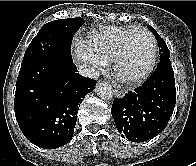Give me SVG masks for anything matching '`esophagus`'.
<instances>
[{"mask_svg": "<svg viewBox=\"0 0 196 166\" xmlns=\"http://www.w3.org/2000/svg\"><path fill=\"white\" fill-rule=\"evenodd\" d=\"M114 92H115V95H116L118 98H122V97H124V95H125L124 90H121V89H115Z\"/></svg>", "mask_w": 196, "mask_h": 166, "instance_id": "esophagus-1", "label": "esophagus"}]
</instances>
